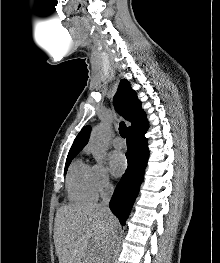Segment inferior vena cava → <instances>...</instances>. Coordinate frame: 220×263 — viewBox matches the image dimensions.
Here are the masks:
<instances>
[{
  "instance_id": "inferior-vena-cava-1",
  "label": "inferior vena cava",
  "mask_w": 220,
  "mask_h": 263,
  "mask_svg": "<svg viewBox=\"0 0 220 263\" xmlns=\"http://www.w3.org/2000/svg\"><path fill=\"white\" fill-rule=\"evenodd\" d=\"M113 190H114L113 186L111 184H108L106 186V192L102 194V202L100 206L108 214H112L109 209V202L111 200ZM116 240H117V230L112 231L111 235H109V237L107 238L106 245H105L104 263H110L111 254L114 250Z\"/></svg>"
}]
</instances>
